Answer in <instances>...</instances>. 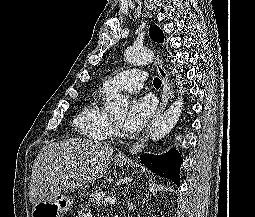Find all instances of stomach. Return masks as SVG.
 <instances>
[{"mask_svg":"<svg viewBox=\"0 0 255 217\" xmlns=\"http://www.w3.org/2000/svg\"><path fill=\"white\" fill-rule=\"evenodd\" d=\"M126 159L115 158L117 166H123ZM73 201L63 195H58L50 200H44L33 206L32 217H64V215L72 208Z\"/></svg>","mask_w":255,"mask_h":217,"instance_id":"obj_1","label":"stomach"}]
</instances>
